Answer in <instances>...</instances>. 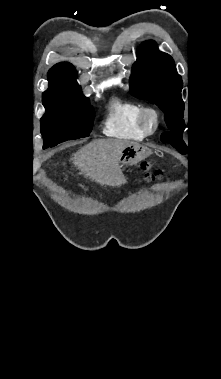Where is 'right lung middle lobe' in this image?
Masks as SVG:
<instances>
[{"label":"right lung middle lobe","instance_id":"1","mask_svg":"<svg viewBox=\"0 0 221 379\" xmlns=\"http://www.w3.org/2000/svg\"><path fill=\"white\" fill-rule=\"evenodd\" d=\"M46 109L41 118L43 148L56 146L66 140L89 136L94 119V110L89 100L79 99L42 100Z\"/></svg>","mask_w":221,"mask_h":379}]
</instances>
